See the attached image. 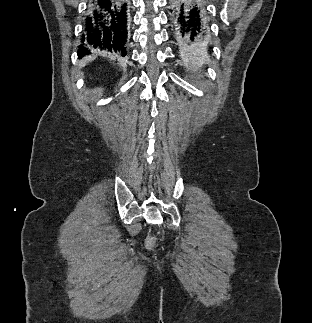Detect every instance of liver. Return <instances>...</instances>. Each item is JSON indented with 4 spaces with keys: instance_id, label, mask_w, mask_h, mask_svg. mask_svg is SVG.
Returning <instances> with one entry per match:
<instances>
[{
    "instance_id": "obj_1",
    "label": "liver",
    "mask_w": 312,
    "mask_h": 323,
    "mask_svg": "<svg viewBox=\"0 0 312 323\" xmlns=\"http://www.w3.org/2000/svg\"><path fill=\"white\" fill-rule=\"evenodd\" d=\"M95 58H97L95 54H91V56H85V58H82V60H79L78 62L79 68H84L86 64H89V62H92V60H95Z\"/></svg>"
}]
</instances>
